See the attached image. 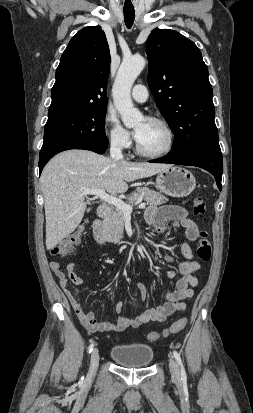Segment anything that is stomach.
Here are the masks:
<instances>
[{
  "label": "stomach",
  "instance_id": "stomach-1",
  "mask_svg": "<svg viewBox=\"0 0 253 413\" xmlns=\"http://www.w3.org/2000/svg\"><path fill=\"white\" fill-rule=\"evenodd\" d=\"M156 186L171 197L182 198L193 192L196 180L190 171L171 165L158 172Z\"/></svg>",
  "mask_w": 253,
  "mask_h": 413
}]
</instances>
